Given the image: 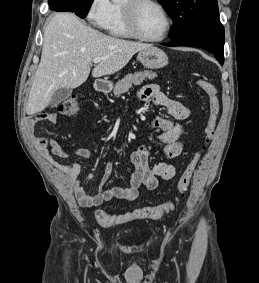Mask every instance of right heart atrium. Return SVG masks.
<instances>
[{"label":"right heart atrium","instance_id":"right-heart-atrium-1","mask_svg":"<svg viewBox=\"0 0 259 283\" xmlns=\"http://www.w3.org/2000/svg\"><path fill=\"white\" fill-rule=\"evenodd\" d=\"M110 0H91L87 11L88 21L96 28H103L111 11Z\"/></svg>","mask_w":259,"mask_h":283}]
</instances>
